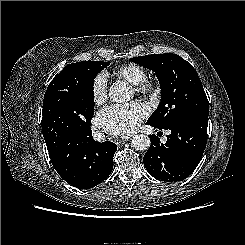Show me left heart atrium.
I'll use <instances>...</instances> for the list:
<instances>
[{
	"label": "left heart atrium",
	"instance_id": "left-heart-atrium-1",
	"mask_svg": "<svg viewBox=\"0 0 245 245\" xmlns=\"http://www.w3.org/2000/svg\"><path fill=\"white\" fill-rule=\"evenodd\" d=\"M148 109L142 102L112 105L99 114L102 125L112 134L126 136L132 133L147 116Z\"/></svg>",
	"mask_w": 245,
	"mask_h": 245
}]
</instances>
